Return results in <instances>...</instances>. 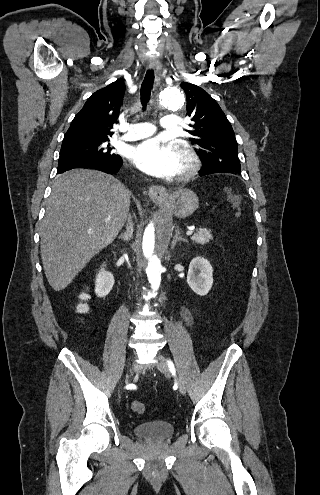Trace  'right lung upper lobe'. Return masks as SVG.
<instances>
[{"label": "right lung upper lobe", "mask_w": 320, "mask_h": 495, "mask_svg": "<svg viewBox=\"0 0 320 495\" xmlns=\"http://www.w3.org/2000/svg\"><path fill=\"white\" fill-rule=\"evenodd\" d=\"M125 84L117 80L93 93L74 117L64 140L109 138L117 123Z\"/></svg>", "instance_id": "obj_1"}]
</instances>
